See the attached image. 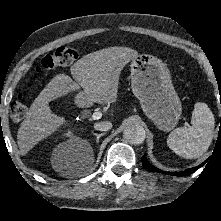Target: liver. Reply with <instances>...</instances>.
<instances>
[{
	"mask_svg": "<svg viewBox=\"0 0 221 221\" xmlns=\"http://www.w3.org/2000/svg\"><path fill=\"white\" fill-rule=\"evenodd\" d=\"M138 52L128 47H108L83 56L71 67V75H56L32 103L21 123L17 142L22 154H27L38 142L47 138L65 122L52 113L49 102L84 89L90 103H114L117 100L121 71Z\"/></svg>",
	"mask_w": 221,
	"mask_h": 221,
	"instance_id": "obj_1",
	"label": "liver"
}]
</instances>
